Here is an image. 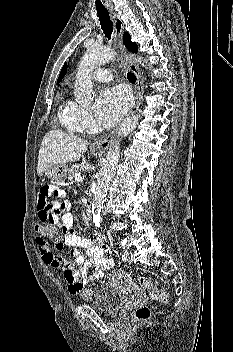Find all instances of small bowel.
Returning <instances> with one entry per match:
<instances>
[{
	"mask_svg": "<svg viewBox=\"0 0 233 352\" xmlns=\"http://www.w3.org/2000/svg\"><path fill=\"white\" fill-rule=\"evenodd\" d=\"M37 217L39 222H47L62 233L53 249L39 237L36 242L44 263L62 272L71 294L78 293L92 281L100 279L103 272L113 266L109 248L101 245V239L93 240L72 229L70 203L59 186L47 184L41 187ZM65 246L72 247L69 254L75 258V262L65 257Z\"/></svg>",
	"mask_w": 233,
	"mask_h": 352,
	"instance_id": "1",
	"label": "small bowel"
}]
</instances>
